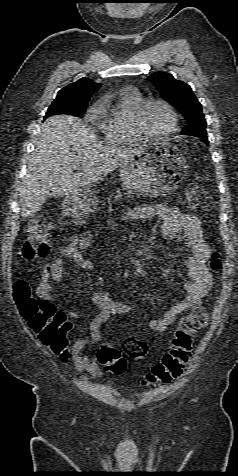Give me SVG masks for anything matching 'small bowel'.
<instances>
[{
  "mask_svg": "<svg viewBox=\"0 0 238 476\" xmlns=\"http://www.w3.org/2000/svg\"><path fill=\"white\" fill-rule=\"evenodd\" d=\"M150 218L162 220L161 232L165 238L172 240L183 235L185 244L190 250L186 259L190 277V281L185 285L187 296L172 305L159 318L148 323L151 330L162 333L174 322L177 315L201 303L203 297L212 287L213 276L206 264L210 256V248L204 239L203 230L197 217L163 205L136 206L129 209L124 215V219L128 222ZM90 243V231L72 237L69 244L62 249L61 257L54 259L44 267L40 282L36 287V293L40 300L54 304L51 294L52 284L60 285L62 282L64 259H71L84 270L94 268V263L83 254ZM92 301L99 308V312L92 319L88 334L76 340L60 357L64 361L71 359L78 371L98 376L102 372L101 364L98 359L83 354V350L90 344H100L102 340L101 327L112 315H128L134 311V306L114 300L106 290L93 294ZM67 313L71 317L78 316L76 311Z\"/></svg>",
  "mask_w": 238,
  "mask_h": 476,
  "instance_id": "obj_1",
  "label": "small bowel"
}]
</instances>
